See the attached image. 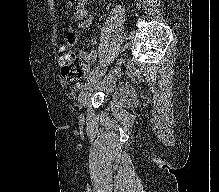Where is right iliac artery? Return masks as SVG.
<instances>
[{
  "label": "right iliac artery",
  "instance_id": "obj_1",
  "mask_svg": "<svg viewBox=\"0 0 219 192\" xmlns=\"http://www.w3.org/2000/svg\"><path fill=\"white\" fill-rule=\"evenodd\" d=\"M99 69V66H97L94 70H92L88 75H87V79H89L92 75L95 74V72H97V70Z\"/></svg>",
  "mask_w": 219,
  "mask_h": 192
}]
</instances>
